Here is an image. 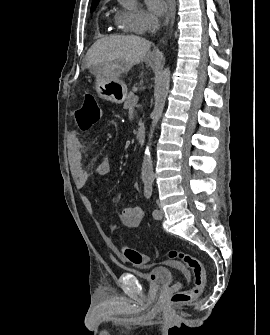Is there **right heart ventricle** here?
<instances>
[{
  "label": "right heart ventricle",
  "mask_w": 270,
  "mask_h": 335,
  "mask_svg": "<svg viewBox=\"0 0 270 335\" xmlns=\"http://www.w3.org/2000/svg\"><path fill=\"white\" fill-rule=\"evenodd\" d=\"M113 23L119 27V28H122V29H125L124 26L122 25L120 19H119V16L118 14H115L113 16ZM159 78H167V82L169 81V72L167 71V77H159Z\"/></svg>",
  "instance_id": "1"
}]
</instances>
